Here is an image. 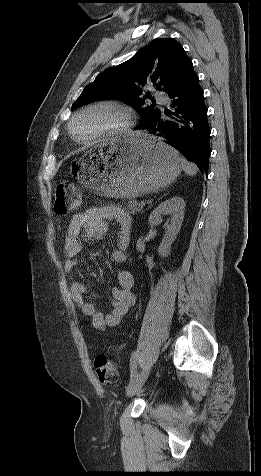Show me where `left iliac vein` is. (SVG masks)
Masks as SVG:
<instances>
[{
	"label": "left iliac vein",
	"instance_id": "4c4485c4",
	"mask_svg": "<svg viewBox=\"0 0 261 476\" xmlns=\"http://www.w3.org/2000/svg\"><path fill=\"white\" fill-rule=\"evenodd\" d=\"M149 375L148 368H144L133 380L130 382L126 389V395L128 397L134 396L136 393L140 391L143 387L144 383L146 382Z\"/></svg>",
	"mask_w": 261,
	"mask_h": 476
}]
</instances>
